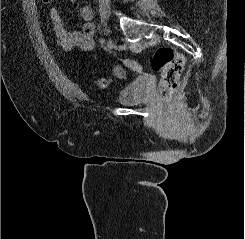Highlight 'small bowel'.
Wrapping results in <instances>:
<instances>
[{"instance_id":"obj_1","label":"small bowel","mask_w":245,"mask_h":239,"mask_svg":"<svg viewBox=\"0 0 245 239\" xmlns=\"http://www.w3.org/2000/svg\"><path fill=\"white\" fill-rule=\"evenodd\" d=\"M74 2L76 0H70ZM49 16L53 25L57 44L65 51H91L95 45V25L92 23L93 9L89 5L80 8V16L84 21L81 31H69L57 7H52Z\"/></svg>"}]
</instances>
